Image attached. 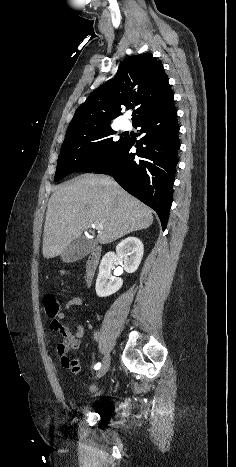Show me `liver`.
<instances>
[{"label":"liver","mask_w":236,"mask_h":467,"mask_svg":"<svg viewBox=\"0 0 236 467\" xmlns=\"http://www.w3.org/2000/svg\"><path fill=\"white\" fill-rule=\"evenodd\" d=\"M152 210L105 175L84 174L59 186L51 195L43 232L44 258H54L84 230L97 229L100 244L148 228Z\"/></svg>","instance_id":"6515ba94"}]
</instances>
